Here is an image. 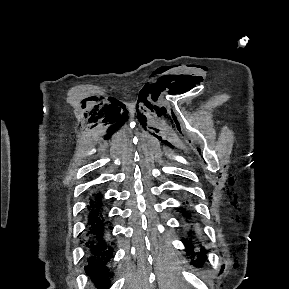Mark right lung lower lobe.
<instances>
[{
    "mask_svg": "<svg viewBox=\"0 0 289 289\" xmlns=\"http://www.w3.org/2000/svg\"><path fill=\"white\" fill-rule=\"evenodd\" d=\"M101 198L102 196L99 194L96 195L95 199H90V204L87 207L89 229L86 234V246L91 251V257L85 271L93 278L103 280L105 285L109 282L108 277L113 276L106 267L113 254V242L109 241L108 232L112 228L110 221L105 217Z\"/></svg>",
    "mask_w": 289,
    "mask_h": 289,
    "instance_id": "obj_1",
    "label": "right lung lower lobe"
}]
</instances>
